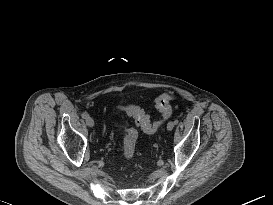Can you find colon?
<instances>
[{"label": "colon", "mask_w": 273, "mask_h": 205, "mask_svg": "<svg viewBox=\"0 0 273 205\" xmlns=\"http://www.w3.org/2000/svg\"><path fill=\"white\" fill-rule=\"evenodd\" d=\"M173 99V95L165 93L160 95L155 101L156 108L161 113L164 120L169 119L172 114L170 103ZM129 114L134 118L136 124L146 133L155 132L161 125V122L152 123L149 116L139 107H130ZM123 133V155L126 159H132L136 150L137 131L133 128H128L123 130Z\"/></svg>", "instance_id": "1"}]
</instances>
